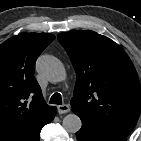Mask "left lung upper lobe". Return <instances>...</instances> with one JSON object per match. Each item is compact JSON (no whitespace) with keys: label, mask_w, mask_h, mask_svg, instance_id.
Instances as JSON below:
<instances>
[{"label":"left lung upper lobe","mask_w":141,"mask_h":141,"mask_svg":"<svg viewBox=\"0 0 141 141\" xmlns=\"http://www.w3.org/2000/svg\"><path fill=\"white\" fill-rule=\"evenodd\" d=\"M76 71L72 111L100 130L127 137L141 110L137 72L125 51L94 31L58 34Z\"/></svg>","instance_id":"left-lung-upper-lobe-1"}]
</instances>
